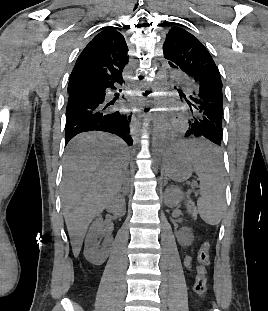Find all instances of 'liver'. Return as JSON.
Instances as JSON below:
<instances>
[{"label":"liver","instance_id":"obj_1","mask_svg":"<svg viewBox=\"0 0 268 311\" xmlns=\"http://www.w3.org/2000/svg\"><path fill=\"white\" fill-rule=\"evenodd\" d=\"M128 164V147L110 134H80L67 146L61 196L75 257L91 221L111 203L125 182Z\"/></svg>","mask_w":268,"mask_h":311}]
</instances>
